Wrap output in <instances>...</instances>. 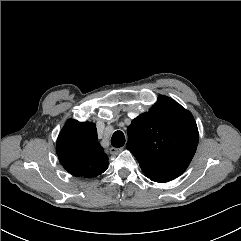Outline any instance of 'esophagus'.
I'll list each match as a JSON object with an SVG mask.
<instances>
[{"mask_svg":"<svg viewBox=\"0 0 241 241\" xmlns=\"http://www.w3.org/2000/svg\"><path fill=\"white\" fill-rule=\"evenodd\" d=\"M123 150V148H115V147H111L109 149L110 154L112 155H117L118 153H120Z\"/></svg>","mask_w":241,"mask_h":241,"instance_id":"34e87169","label":"esophagus"}]
</instances>
